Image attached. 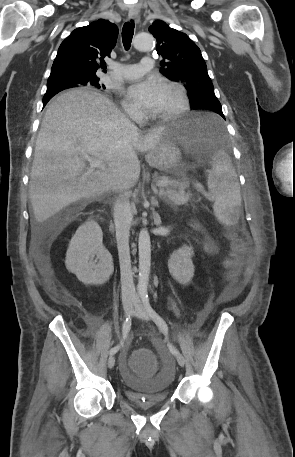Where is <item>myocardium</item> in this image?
I'll return each instance as SVG.
<instances>
[{
    "mask_svg": "<svg viewBox=\"0 0 295 457\" xmlns=\"http://www.w3.org/2000/svg\"><path fill=\"white\" fill-rule=\"evenodd\" d=\"M162 86L172 89L176 92L178 97V105L172 111L163 114H151L153 120H172L183 114L189 107V99L185 88L176 82L163 81Z\"/></svg>",
    "mask_w": 295,
    "mask_h": 457,
    "instance_id": "obj_1",
    "label": "myocardium"
}]
</instances>
